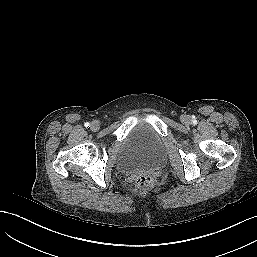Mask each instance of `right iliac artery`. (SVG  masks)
<instances>
[{
  "instance_id": "obj_1",
  "label": "right iliac artery",
  "mask_w": 257,
  "mask_h": 257,
  "mask_svg": "<svg viewBox=\"0 0 257 257\" xmlns=\"http://www.w3.org/2000/svg\"><path fill=\"white\" fill-rule=\"evenodd\" d=\"M84 126H85L86 128H89V127H90V124H89L88 122H86V123L84 124Z\"/></svg>"
}]
</instances>
